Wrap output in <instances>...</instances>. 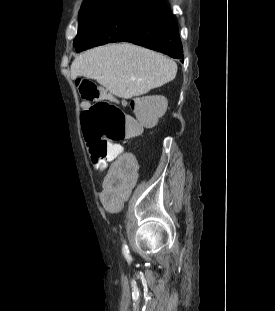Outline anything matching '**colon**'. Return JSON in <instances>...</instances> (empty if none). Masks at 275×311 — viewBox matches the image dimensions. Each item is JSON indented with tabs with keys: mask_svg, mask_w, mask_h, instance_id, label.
<instances>
[{
	"mask_svg": "<svg viewBox=\"0 0 275 311\" xmlns=\"http://www.w3.org/2000/svg\"><path fill=\"white\" fill-rule=\"evenodd\" d=\"M77 86L82 100L94 102L81 113L85 141L94 159H113L120 154L119 142L138 136L141 127L152 126L158 113L149 100L130 104L136 119L103 98L102 91L90 80L79 79Z\"/></svg>",
	"mask_w": 275,
	"mask_h": 311,
	"instance_id": "5ec220e1",
	"label": "colon"
}]
</instances>
